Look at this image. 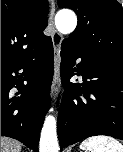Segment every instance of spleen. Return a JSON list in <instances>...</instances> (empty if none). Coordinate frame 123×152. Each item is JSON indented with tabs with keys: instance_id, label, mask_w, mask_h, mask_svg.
<instances>
[{
	"instance_id": "obj_1",
	"label": "spleen",
	"mask_w": 123,
	"mask_h": 152,
	"mask_svg": "<svg viewBox=\"0 0 123 152\" xmlns=\"http://www.w3.org/2000/svg\"><path fill=\"white\" fill-rule=\"evenodd\" d=\"M80 148L85 152H123V145L119 141L104 135L85 139Z\"/></svg>"
}]
</instances>
